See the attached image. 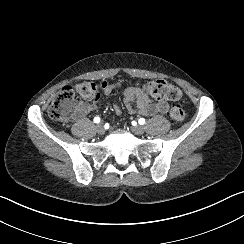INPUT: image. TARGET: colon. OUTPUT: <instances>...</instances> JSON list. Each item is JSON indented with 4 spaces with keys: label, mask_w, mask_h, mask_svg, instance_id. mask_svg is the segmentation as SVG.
<instances>
[{
    "label": "colon",
    "mask_w": 244,
    "mask_h": 244,
    "mask_svg": "<svg viewBox=\"0 0 244 244\" xmlns=\"http://www.w3.org/2000/svg\"><path fill=\"white\" fill-rule=\"evenodd\" d=\"M141 89L148 95L170 101H178L182 97L181 90L163 80H151L140 84ZM99 96V87L91 81L80 82L65 86L56 95L48 109L49 116L57 122L67 121L76 108L82 103H92ZM169 116L172 121L182 123L186 112L181 105H173Z\"/></svg>",
    "instance_id": "colon-1"
}]
</instances>
